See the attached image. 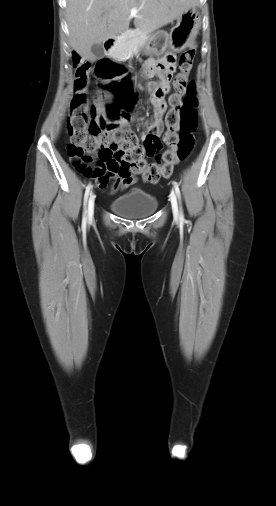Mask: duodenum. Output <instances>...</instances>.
Listing matches in <instances>:
<instances>
[{
    "instance_id": "410a0bca",
    "label": "duodenum",
    "mask_w": 276,
    "mask_h": 506,
    "mask_svg": "<svg viewBox=\"0 0 276 506\" xmlns=\"http://www.w3.org/2000/svg\"><path fill=\"white\" fill-rule=\"evenodd\" d=\"M118 39H119V36H112V37H109L105 41L104 45H105V50L106 51H104V53H103L104 56L107 57V56H109V54H113V53H109V52H111V50H112L111 48L117 43Z\"/></svg>"
}]
</instances>
